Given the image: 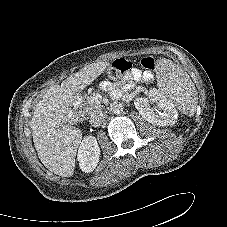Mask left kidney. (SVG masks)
Segmentation results:
<instances>
[{"label": "left kidney", "instance_id": "left-kidney-1", "mask_svg": "<svg viewBox=\"0 0 227 227\" xmlns=\"http://www.w3.org/2000/svg\"><path fill=\"white\" fill-rule=\"evenodd\" d=\"M150 104H155L156 109ZM134 105L139 114L153 125L169 126L177 122L178 113L174 105L155 88L150 89L148 97L136 98Z\"/></svg>", "mask_w": 227, "mask_h": 227}]
</instances>
